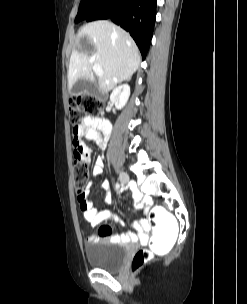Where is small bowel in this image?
Instances as JSON below:
<instances>
[{
	"mask_svg": "<svg viewBox=\"0 0 247 304\" xmlns=\"http://www.w3.org/2000/svg\"><path fill=\"white\" fill-rule=\"evenodd\" d=\"M100 131L103 132L105 137H102ZM111 132V124L107 120H100L94 117H86L82 123L78 126L77 130L72 131V156L74 162H87L91 161V151L83 142L84 138L95 141L99 146L105 147L108 135ZM104 167L102 158H98L95 161L93 167V176L98 177ZM91 184H89L85 190V194L82 199H79L80 209L83 217L92 227H98V234H93L87 237L88 243H93L102 237H110L113 241H126V242H141L147 243L150 233V225L147 219L139 220L135 223V227L140 231L138 235L132 232H127L122 235L112 234V229L109 223L114 219L108 211L105 209H97L93 203L89 200ZM102 189L106 192L104 198V206H108L112 201V195L109 191V183L104 181L101 185ZM140 208L149 204V199L139 196Z\"/></svg>",
	"mask_w": 247,
	"mask_h": 304,
	"instance_id": "obj_1",
	"label": "small bowel"
}]
</instances>
